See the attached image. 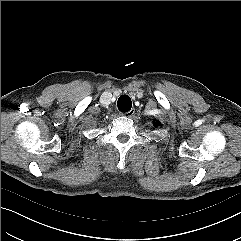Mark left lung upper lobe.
Returning a JSON list of instances; mask_svg holds the SVG:
<instances>
[{
	"label": "left lung upper lobe",
	"mask_w": 241,
	"mask_h": 241,
	"mask_svg": "<svg viewBox=\"0 0 241 241\" xmlns=\"http://www.w3.org/2000/svg\"><path fill=\"white\" fill-rule=\"evenodd\" d=\"M154 125H155V127H157V126H158V123H157V121H156V122H154Z\"/></svg>",
	"instance_id": "left-lung-upper-lobe-1"
}]
</instances>
